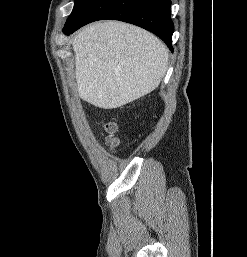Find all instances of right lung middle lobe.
Listing matches in <instances>:
<instances>
[{
  "instance_id": "right-lung-middle-lobe-1",
  "label": "right lung middle lobe",
  "mask_w": 247,
  "mask_h": 257,
  "mask_svg": "<svg viewBox=\"0 0 247 257\" xmlns=\"http://www.w3.org/2000/svg\"><path fill=\"white\" fill-rule=\"evenodd\" d=\"M93 1L94 0H75L73 11L68 17L65 25L76 22Z\"/></svg>"
}]
</instances>
